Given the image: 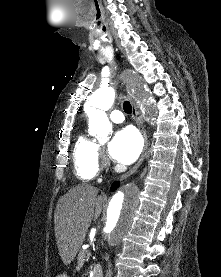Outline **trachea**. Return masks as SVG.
Here are the masks:
<instances>
[{"label": "trachea", "mask_w": 221, "mask_h": 277, "mask_svg": "<svg viewBox=\"0 0 221 277\" xmlns=\"http://www.w3.org/2000/svg\"><path fill=\"white\" fill-rule=\"evenodd\" d=\"M123 109H124L125 113L131 114V112H132V106H131L130 102L124 101V103H123Z\"/></svg>", "instance_id": "obj_1"}]
</instances>
